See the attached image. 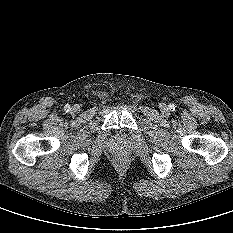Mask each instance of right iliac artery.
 Instances as JSON below:
<instances>
[{
  "mask_svg": "<svg viewBox=\"0 0 233 233\" xmlns=\"http://www.w3.org/2000/svg\"><path fill=\"white\" fill-rule=\"evenodd\" d=\"M71 110V108H70V105H65V107H64V111L65 112H69Z\"/></svg>",
  "mask_w": 233,
  "mask_h": 233,
  "instance_id": "obj_1",
  "label": "right iliac artery"
}]
</instances>
